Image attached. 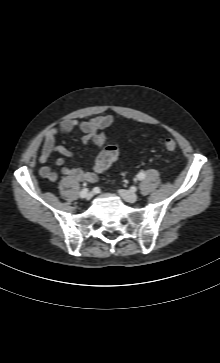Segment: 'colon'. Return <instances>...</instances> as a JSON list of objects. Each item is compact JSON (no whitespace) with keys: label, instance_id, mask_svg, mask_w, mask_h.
<instances>
[{"label":"colon","instance_id":"colon-1","mask_svg":"<svg viewBox=\"0 0 220 363\" xmlns=\"http://www.w3.org/2000/svg\"><path fill=\"white\" fill-rule=\"evenodd\" d=\"M164 146L168 151H174L177 148V144L174 139L166 138L164 140ZM119 156V151L115 146H107L103 152V166H109L114 163Z\"/></svg>","mask_w":220,"mask_h":363}]
</instances>
